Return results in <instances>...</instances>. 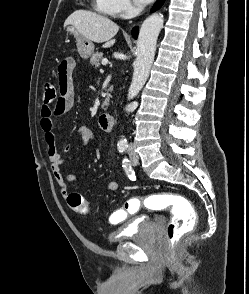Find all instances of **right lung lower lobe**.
Returning <instances> with one entry per match:
<instances>
[{
  "mask_svg": "<svg viewBox=\"0 0 249 294\" xmlns=\"http://www.w3.org/2000/svg\"><path fill=\"white\" fill-rule=\"evenodd\" d=\"M164 2H165V0H157L156 3L153 6L152 11H155V10L159 9L163 5ZM137 34H138V27H135L132 30V36L134 38H136L137 37Z\"/></svg>",
  "mask_w": 249,
  "mask_h": 294,
  "instance_id": "obj_1",
  "label": "right lung lower lobe"
}]
</instances>
